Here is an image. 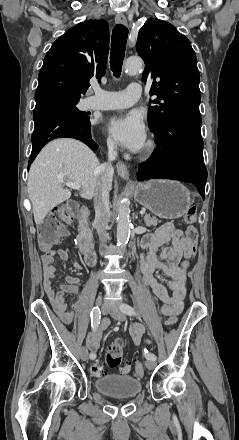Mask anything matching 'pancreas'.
<instances>
[{"label":"pancreas","mask_w":239,"mask_h":440,"mask_svg":"<svg viewBox=\"0 0 239 440\" xmlns=\"http://www.w3.org/2000/svg\"><path fill=\"white\" fill-rule=\"evenodd\" d=\"M143 220L145 222V226H158V224H161L162 222V220H158V218H155V216H150V214L143 216Z\"/></svg>","instance_id":"obj_1"}]
</instances>
